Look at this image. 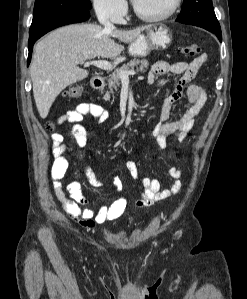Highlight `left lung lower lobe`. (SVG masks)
<instances>
[{"label": "left lung lower lobe", "mask_w": 247, "mask_h": 299, "mask_svg": "<svg viewBox=\"0 0 247 299\" xmlns=\"http://www.w3.org/2000/svg\"><path fill=\"white\" fill-rule=\"evenodd\" d=\"M178 22L183 23V24H190V25L202 27V28L214 33L218 37L219 41H222L220 26L211 25V24H209L203 20H200V19H186V20H181Z\"/></svg>", "instance_id": "0a47b994"}]
</instances>
